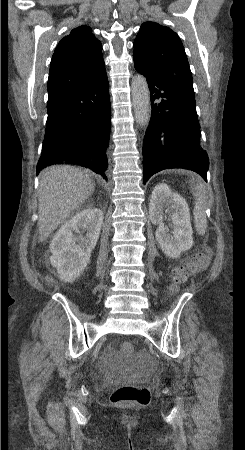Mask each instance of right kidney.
<instances>
[{
	"label": "right kidney",
	"mask_w": 245,
	"mask_h": 450,
	"mask_svg": "<svg viewBox=\"0 0 245 450\" xmlns=\"http://www.w3.org/2000/svg\"><path fill=\"white\" fill-rule=\"evenodd\" d=\"M103 224V212L87 208L66 221L50 244V262L62 281L72 282L89 263ZM85 232V236L81 235Z\"/></svg>",
	"instance_id": "right-kidney-1"
}]
</instances>
